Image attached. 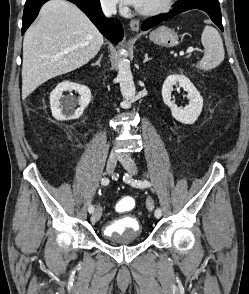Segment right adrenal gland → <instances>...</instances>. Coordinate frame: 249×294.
Here are the masks:
<instances>
[{
	"label": "right adrenal gland",
	"mask_w": 249,
	"mask_h": 294,
	"mask_svg": "<svg viewBox=\"0 0 249 294\" xmlns=\"http://www.w3.org/2000/svg\"><path fill=\"white\" fill-rule=\"evenodd\" d=\"M103 55L101 54L98 58V60L95 63H92L91 65H98L99 67H101V59H102Z\"/></svg>",
	"instance_id": "obj_1"
}]
</instances>
